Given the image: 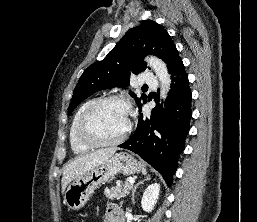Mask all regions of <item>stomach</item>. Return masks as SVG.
Returning a JSON list of instances; mask_svg holds the SVG:
<instances>
[{
    "label": "stomach",
    "mask_w": 257,
    "mask_h": 222,
    "mask_svg": "<svg viewBox=\"0 0 257 222\" xmlns=\"http://www.w3.org/2000/svg\"><path fill=\"white\" fill-rule=\"evenodd\" d=\"M141 164L128 153H118L87 173L77 177L66 189L64 204L71 210L82 208L94 190L118 173L132 175L139 172Z\"/></svg>",
    "instance_id": "0dacf381"
}]
</instances>
